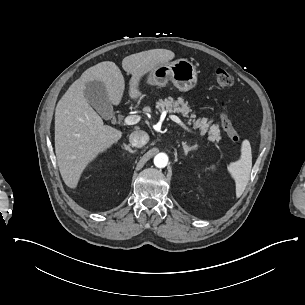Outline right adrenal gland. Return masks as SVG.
Here are the masks:
<instances>
[{
	"label": "right adrenal gland",
	"mask_w": 305,
	"mask_h": 305,
	"mask_svg": "<svg viewBox=\"0 0 305 305\" xmlns=\"http://www.w3.org/2000/svg\"><path fill=\"white\" fill-rule=\"evenodd\" d=\"M124 148H125L127 151H129L130 153H135V152H136V150H132V149H131L130 145L124 144Z\"/></svg>",
	"instance_id": "obj_1"
}]
</instances>
